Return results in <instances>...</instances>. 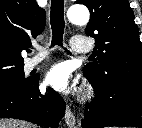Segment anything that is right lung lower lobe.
Listing matches in <instances>:
<instances>
[{
    "label": "right lung lower lobe",
    "instance_id": "obj_1",
    "mask_svg": "<svg viewBox=\"0 0 142 128\" xmlns=\"http://www.w3.org/2000/svg\"><path fill=\"white\" fill-rule=\"evenodd\" d=\"M39 77L24 85L0 91V118H16L57 128L65 114V103L56 91L41 94Z\"/></svg>",
    "mask_w": 142,
    "mask_h": 128
}]
</instances>
